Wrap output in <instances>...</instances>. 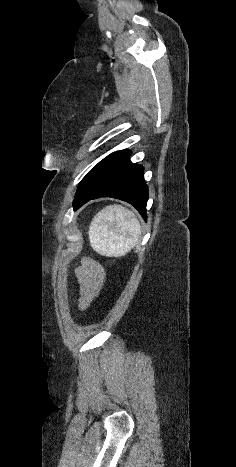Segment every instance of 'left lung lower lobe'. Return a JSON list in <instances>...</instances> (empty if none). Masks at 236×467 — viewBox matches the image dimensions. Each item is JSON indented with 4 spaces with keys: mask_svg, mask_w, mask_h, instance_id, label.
Returning <instances> with one entry per match:
<instances>
[{
    "mask_svg": "<svg viewBox=\"0 0 236 467\" xmlns=\"http://www.w3.org/2000/svg\"><path fill=\"white\" fill-rule=\"evenodd\" d=\"M129 156L130 152L122 150L101 160L78 188L73 201L74 210L91 199L112 197L132 204L146 219L148 188L143 167L132 163Z\"/></svg>",
    "mask_w": 236,
    "mask_h": 467,
    "instance_id": "left-lung-lower-lobe-1",
    "label": "left lung lower lobe"
}]
</instances>
